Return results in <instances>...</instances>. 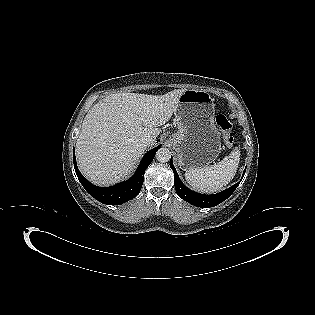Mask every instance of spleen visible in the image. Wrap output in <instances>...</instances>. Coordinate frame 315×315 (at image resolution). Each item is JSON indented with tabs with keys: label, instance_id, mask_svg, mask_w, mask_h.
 I'll return each instance as SVG.
<instances>
[{
	"label": "spleen",
	"instance_id": "1",
	"mask_svg": "<svg viewBox=\"0 0 315 315\" xmlns=\"http://www.w3.org/2000/svg\"><path fill=\"white\" fill-rule=\"evenodd\" d=\"M240 160V151L235 148L221 162L185 172V179L197 191L213 193L220 191L235 176Z\"/></svg>",
	"mask_w": 315,
	"mask_h": 315
}]
</instances>
